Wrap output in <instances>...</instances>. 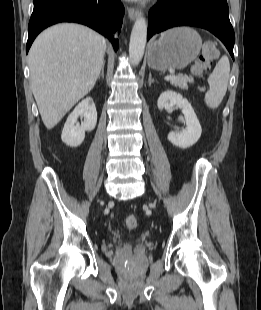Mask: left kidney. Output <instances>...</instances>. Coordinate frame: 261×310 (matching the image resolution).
<instances>
[{
  "instance_id": "left-kidney-1",
  "label": "left kidney",
  "mask_w": 261,
  "mask_h": 310,
  "mask_svg": "<svg viewBox=\"0 0 261 310\" xmlns=\"http://www.w3.org/2000/svg\"><path fill=\"white\" fill-rule=\"evenodd\" d=\"M159 110L168 109L174 106L179 107L184 114L187 127L181 132H171L168 140L175 146L186 149L193 146L201 136L202 129L197 116L187 99L175 91H165L158 98Z\"/></svg>"
}]
</instances>
